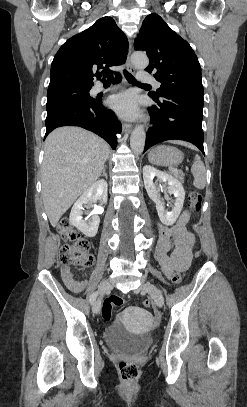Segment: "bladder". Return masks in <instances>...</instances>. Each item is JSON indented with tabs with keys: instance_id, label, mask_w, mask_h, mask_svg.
I'll list each match as a JSON object with an SVG mask.
<instances>
[{
	"instance_id": "obj_1",
	"label": "bladder",
	"mask_w": 247,
	"mask_h": 407,
	"mask_svg": "<svg viewBox=\"0 0 247 407\" xmlns=\"http://www.w3.org/2000/svg\"><path fill=\"white\" fill-rule=\"evenodd\" d=\"M106 344L115 351L136 353L147 349L152 341V334L136 333L128 329L120 320L109 324L104 330Z\"/></svg>"
}]
</instances>
